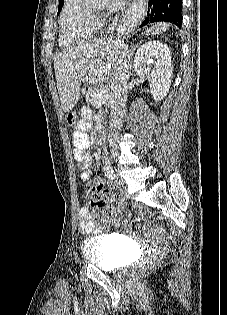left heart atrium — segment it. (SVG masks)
Segmentation results:
<instances>
[{"instance_id": "39dd6f15", "label": "left heart atrium", "mask_w": 227, "mask_h": 315, "mask_svg": "<svg viewBox=\"0 0 227 315\" xmlns=\"http://www.w3.org/2000/svg\"><path fill=\"white\" fill-rule=\"evenodd\" d=\"M127 0H110V8L117 10L124 7L127 4Z\"/></svg>"}]
</instances>
